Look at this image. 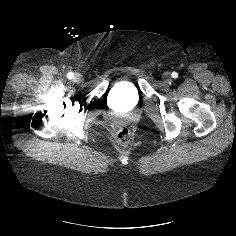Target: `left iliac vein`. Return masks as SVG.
<instances>
[{"label":"left iliac vein","instance_id":"1","mask_svg":"<svg viewBox=\"0 0 236 236\" xmlns=\"http://www.w3.org/2000/svg\"><path fill=\"white\" fill-rule=\"evenodd\" d=\"M163 78H164V81H165V82H169V81H170V75H169V73H165L164 76H163Z\"/></svg>","mask_w":236,"mask_h":236}]
</instances>
